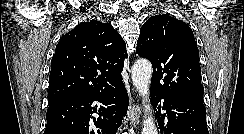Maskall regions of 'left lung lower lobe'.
Returning a JSON list of instances; mask_svg holds the SVG:
<instances>
[{
    "mask_svg": "<svg viewBox=\"0 0 244 134\" xmlns=\"http://www.w3.org/2000/svg\"><path fill=\"white\" fill-rule=\"evenodd\" d=\"M162 99V109L166 110V113L158 114L161 134H209L203 101L162 93L151 87L154 107ZM158 110H161V106Z\"/></svg>",
    "mask_w": 244,
    "mask_h": 134,
    "instance_id": "0a47b994",
    "label": "left lung lower lobe"
}]
</instances>
